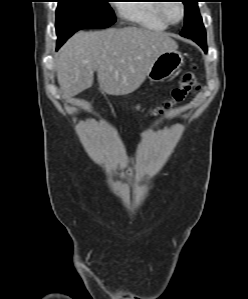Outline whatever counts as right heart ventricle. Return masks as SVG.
Masks as SVG:
<instances>
[{
	"label": "right heart ventricle",
	"mask_w": 248,
	"mask_h": 299,
	"mask_svg": "<svg viewBox=\"0 0 248 299\" xmlns=\"http://www.w3.org/2000/svg\"><path fill=\"white\" fill-rule=\"evenodd\" d=\"M137 3H124L120 6V14L128 21L141 27L164 31L168 25L158 14L159 0H140Z\"/></svg>",
	"instance_id": "e07e8e85"
}]
</instances>
